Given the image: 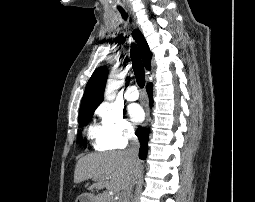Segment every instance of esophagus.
Returning a JSON list of instances; mask_svg holds the SVG:
<instances>
[{
  "label": "esophagus",
  "mask_w": 255,
  "mask_h": 202,
  "mask_svg": "<svg viewBox=\"0 0 255 202\" xmlns=\"http://www.w3.org/2000/svg\"><path fill=\"white\" fill-rule=\"evenodd\" d=\"M149 121H150V111L148 109L146 113V120H145L144 126H147Z\"/></svg>",
  "instance_id": "1"
}]
</instances>
